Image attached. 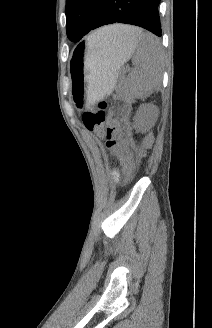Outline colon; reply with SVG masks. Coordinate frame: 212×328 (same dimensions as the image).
<instances>
[{
	"label": "colon",
	"instance_id": "1",
	"mask_svg": "<svg viewBox=\"0 0 212 328\" xmlns=\"http://www.w3.org/2000/svg\"><path fill=\"white\" fill-rule=\"evenodd\" d=\"M83 122L86 129L101 138L112 153L123 158L126 165L125 183H128L134 173V163L124 148L125 132L120 124L106 113V103L100 102L96 108L86 111L83 114Z\"/></svg>",
	"mask_w": 212,
	"mask_h": 328
}]
</instances>
